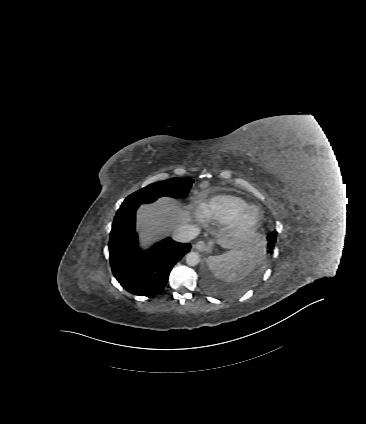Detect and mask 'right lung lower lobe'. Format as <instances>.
<instances>
[{"label":"right lung lower lobe","instance_id":"98d812e1","mask_svg":"<svg viewBox=\"0 0 366 424\" xmlns=\"http://www.w3.org/2000/svg\"><path fill=\"white\" fill-rule=\"evenodd\" d=\"M137 208H120L114 218L109 241L110 264L115 278L128 292L149 297L165 286L170 270L191 246L167 238L141 252L135 231Z\"/></svg>","mask_w":366,"mask_h":424}]
</instances>
